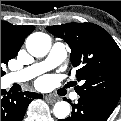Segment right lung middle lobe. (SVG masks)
<instances>
[{
    "label": "right lung middle lobe",
    "mask_w": 121,
    "mask_h": 121,
    "mask_svg": "<svg viewBox=\"0 0 121 121\" xmlns=\"http://www.w3.org/2000/svg\"><path fill=\"white\" fill-rule=\"evenodd\" d=\"M19 49V47L11 44L6 38L1 37V66L3 64H7L10 59L14 58L17 55ZM4 74L5 72L1 67V76Z\"/></svg>",
    "instance_id": "right-lung-middle-lobe-1"
}]
</instances>
